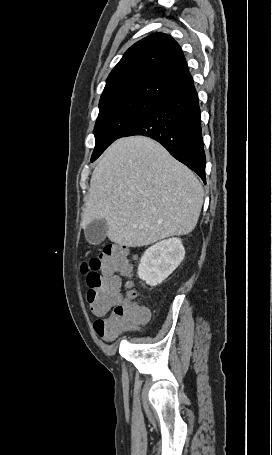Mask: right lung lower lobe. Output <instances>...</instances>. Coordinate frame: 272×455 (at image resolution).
Masks as SVG:
<instances>
[{"label": "right lung lower lobe", "mask_w": 272, "mask_h": 455, "mask_svg": "<svg viewBox=\"0 0 272 455\" xmlns=\"http://www.w3.org/2000/svg\"><path fill=\"white\" fill-rule=\"evenodd\" d=\"M201 113L194 85L164 101L120 136L145 135L161 143L177 160L196 172L205 183L206 157Z\"/></svg>", "instance_id": "right-lung-lower-lobe-1"}]
</instances>
